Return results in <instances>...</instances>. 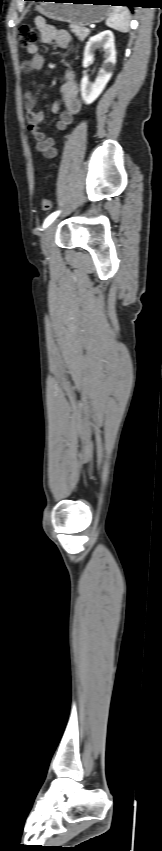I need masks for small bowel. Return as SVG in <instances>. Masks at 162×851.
I'll return each mask as SVG.
<instances>
[{
	"instance_id": "small-bowel-1",
	"label": "small bowel",
	"mask_w": 162,
	"mask_h": 851,
	"mask_svg": "<svg viewBox=\"0 0 162 851\" xmlns=\"http://www.w3.org/2000/svg\"><path fill=\"white\" fill-rule=\"evenodd\" d=\"M37 28L41 34V41L45 44L52 42L57 43L61 48H68L71 43L70 34L54 24L46 22L42 17L35 21ZM32 55L31 60L24 61L23 69L26 73L43 68L45 58L39 53V47L33 45L27 49ZM60 100L53 102L51 111L54 114H59V119L56 123V128L65 133L68 127L72 124L74 117L81 111V101L78 97V87L74 79V75L68 71L64 83L61 85ZM61 105L64 109L61 110ZM24 107L26 110V119L28 130L30 131L34 141L35 149L41 152L46 158L51 159L57 155L55 141L51 137H46L41 131V124L44 121V113L36 110V100L31 92H27L24 97Z\"/></svg>"
}]
</instances>
